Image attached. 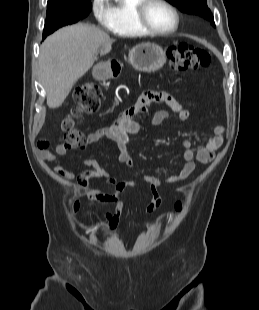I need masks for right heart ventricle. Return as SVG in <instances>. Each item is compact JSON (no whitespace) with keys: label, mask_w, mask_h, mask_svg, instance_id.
<instances>
[{"label":"right heart ventricle","mask_w":259,"mask_h":310,"mask_svg":"<svg viewBox=\"0 0 259 310\" xmlns=\"http://www.w3.org/2000/svg\"><path fill=\"white\" fill-rule=\"evenodd\" d=\"M140 0H113L110 5V20L106 25L112 33L123 37H140L147 35L137 24L135 7Z\"/></svg>","instance_id":"1"}]
</instances>
